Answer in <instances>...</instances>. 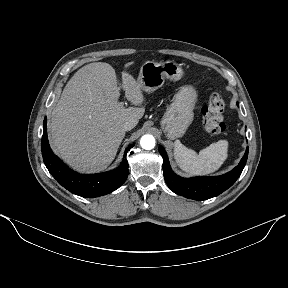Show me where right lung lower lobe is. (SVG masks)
I'll return each instance as SVG.
<instances>
[{
    "mask_svg": "<svg viewBox=\"0 0 288 288\" xmlns=\"http://www.w3.org/2000/svg\"><path fill=\"white\" fill-rule=\"evenodd\" d=\"M44 131L41 141L43 161L50 174L58 183L71 193L84 198L98 197L113 192L119 188L127 179L129 170L126 159L127 151L134 145H130L125 153L121 165L112 171L98 174H79L67 167L52 152L48 137L46 119L44 120Z\"/></svg>",
    "mask_w": 288,
    "mask_h": 288,
    "instance_id": "1",
    "label": "right lung lower lobe"
}]
</instances>
